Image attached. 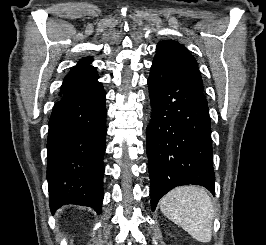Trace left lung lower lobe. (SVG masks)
I'll list each match as a JSON object with an SVG mask.
<instances>
[{
    "instance_id": "0a47b994",
    "label": "left lung lower lobe",
    "mask_w": 266,
    "mask_h": 245,
    "mask_svg": "<svg viewBox=\"0 0 266 245\" xmlns=\"http://www.w3.org/2000/svg\"><path fill=\"white\" fill-rule=\"evenodd\" d=\"M148 85L153 110L146 130L152 211L177 186L201 185L214 195L211 126L203 88L156 59Z\"/></svg>"
}]
</instances>
